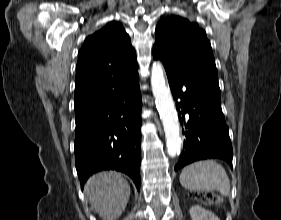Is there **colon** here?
<instances>
[{
  "instance_id": "obj_1",
  "label": "colon",
  "mask_w": 281,
  "mask_h": 220,
  "mask_svg": "<svg viewBox=\"0 0 281 220\" xmlns=\"http://www.w3.org/2000/svg\"><path fill=\"white\" fill-rule=\"evenodd\" d=\"M191 196L198 201L208 204H218L221 201V198L211 191H196Z\"/></svg>"
}]
</instances>
